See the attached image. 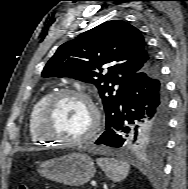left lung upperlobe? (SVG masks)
<instances>
[{"instance_id":"1","label":"left lung upper lobe","mask_w":188,"mask_h":189,"mask_svg":"<svg viewBox=\"0 0 188 189\" xmlns=\"http://www.w3.org/2000/svg\"><path fill=\"white\" fill-rule=\"evenodd\" d=\"M141 34L131 24L107 21L75 39L62 44L47 62L43 77H71L98 87L106 113V122L121 104L126 84L154 60ZM103 67L108 72L102 74ZM119 84V89L113 87ZM167 126L146 124L134 129L126 147L160 153Z\"/></svg>"}]
</instances>
